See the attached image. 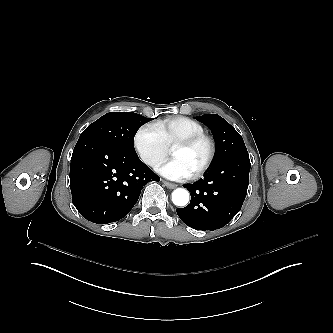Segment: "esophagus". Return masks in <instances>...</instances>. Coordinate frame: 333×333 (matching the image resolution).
I'll return each mask as SVG.
<instances>
[{
    "label": "esophagus",
    "instance_id": "esophagus-1",
    "mask_svg": "<svg viewBox=\"0 0 333 333\" xmlns=\"http://www.w3.org/2000/svg\"><path fill=\"white\" fill-rule=\"evenodd\" d=\"M162 182L166 185L167 188L169 189H174L176 188L178 185L177 184H174V183H171V182H168L166 180H162Z\"/></svg>",
    "mask_w": 333,
    "mask_h": 333
}]
</instances>
